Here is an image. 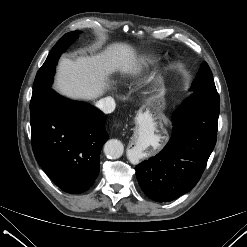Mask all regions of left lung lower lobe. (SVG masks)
Listing matches in <instances>:
<instances>
[{"label":"left lung lower lobe","instance_id":"0a47b994","mask_svg":"<svg viewBox=\"0 0 247 247\" xmlns=\"http://www.w3.org/2000/svg\"><path fill=\"white\" fill-rule=\"evenodd\" d=\"M219 111L218 100L194 92L175 112L167 145L136 166L138 183L150 199L171 201L196 185L216 144Z\"/></svg>","mask_w":247,"mask_h":247}]
</instances>
